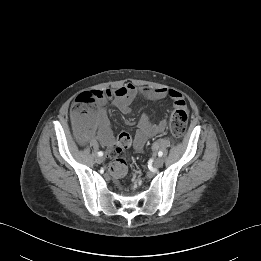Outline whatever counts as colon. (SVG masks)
Here are the masks:
<instances>
[{
  "label": "colon",
  "instance_id": "obj_1",
  "mask_svg": "<svg viewBox=\"0 0 261 261\" xmlns=\"http://www.w3.org/2000/svg\"><path fill=\"white\" fill-rule=\"evenodd\" d=\"M93 108L84 94L79 95L72 105V112L75 120H79L85 114H90ZM188 114L184 109L174 111L170 117V131L175 137H182L187 129ZM132 138L127 133H122L116 141L109 147L107 156L112 160L110 171L117 177L124 176L128 170L127 162L119 158L122 152L130 148Z\"/></svg>",
  "mask_w": 261,
  "mask_h": 261
}]
</instances>
